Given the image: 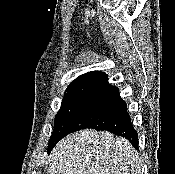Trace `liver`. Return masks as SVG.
<instances>
[{
    "instance_id": "obj_1",
    "label": "liver",
    "mask_w": 175,
    "mask_h": 174,
    "mask_svg": "<svg viewBox=\"0 0 175 174\" xmlns=\"http://www.w3.org/2000/svg\"><path fill=\"white\" fill-rule=\"evenodd\" d=\"M131 143L108 131L84 129L61 139L50 154V174H140Z\"/></svg>"
}]
</instances>
